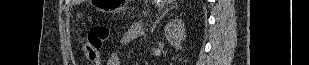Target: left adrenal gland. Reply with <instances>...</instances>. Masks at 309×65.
<instances>
[{"mask_svg":"<svg viewBox=\"0 0 309 65\" xmlns=\"http://www.w3.org/2000/svg\"><path fill=\"white\" fill-rule=\"evenodd\" d=\"M172 9H173V8H172ZM169 10H170V9H169ZM169 10H166L165 13H163L160 17L157 18V20H156L155 23H154V27H153V28L156 27V25H157V24L161 21V19L168 13Z\"/></svg>","mask_w":309,"mask_h":65,"instance_id":"left-adrenal-gland-1","label":"left adrenal gland"}]
</instances>
